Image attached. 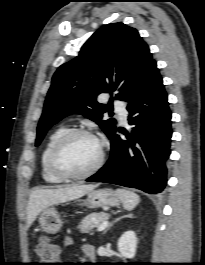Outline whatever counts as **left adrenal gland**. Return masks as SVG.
<instances>
[{
  "instance_id": "obj_1",
  "label": "left adrenal gland",
  "mask_w": 205,
  "mask_h": 265,
  "mask_svg": "<svg viewBox=\"0 0 205 265\" xmlns=\"http://www.w3.org/2000/svg\"><path fill=\"white\" fill-rule=\"evenodd\" d=\"M133 216V214H127V215H124V216H121V217H118V218H116L113 222H111L108 226H107V228L104 230V232H103V234H105L110 228H111V226H113V224L115 223V222H117L118 220H120V219H122V218H125V217H132Z\"/></svg>"
}]
</instances>
